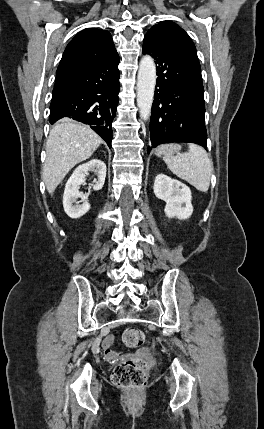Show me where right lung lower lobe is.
<instances>
[{
    "instance_id": "98d812e1",
    "label": "right lung lower lobe",
    "mask_w": 264,
    "mask_h": 429,
    "mask_svg": "<svg viewBox=\"0 0 264 429\" xmlns=\"http://www.w3.org/2000/svg\"><path fill=\"white\" fill-rule=\"evenodd\" d=\"M119 55L117 51L94 66L56 82L49 122L63 117L89 125L111 148L112 122L118 105Z\"/></svg>"
}]
</instances>
